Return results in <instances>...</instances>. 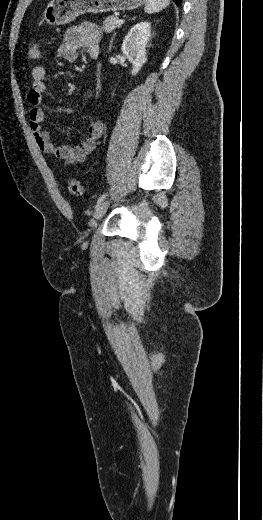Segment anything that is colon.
Listing matches in <instances>:
<instances>
[{
    "label": "colon",
    "instance_id": "5ec220e1",
    "mask_svg": "<svg viewBox=\"0 0 263 520\" xmlns=\"http://www.w3.org/2000/svg\"><path fill=\"white\" fill-rule=\"evenodd\" d=\"M26 56H27V59L33 60V61L40 59V57H41L40 46L37 42H32L29 44ZM66 185H67V190H68L69 194H71L73 196L81 195L82 185L78 179H76L74 177H69L66 180Z\"/></svg>",
    "mask_w": 263,
    "mask_h": 520
}]
</instances>
